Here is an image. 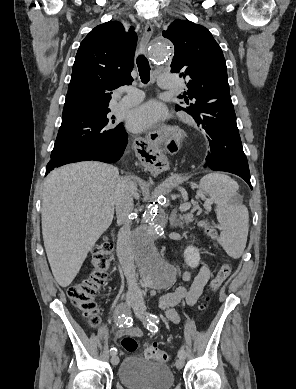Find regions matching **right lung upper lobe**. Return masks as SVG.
Here are the masks:
<instances>
[{"instance_id": "cb5924a9", "label": "right lung upper lobe", "mask_w": 296, "mask_h": 389, "mask_svg": "<svg viewBox=\"0 0 296 389\" xmlns=\"http://www.w3.org/2000/svg\"><path fill=\"white\" fill-rule=\"evenodd\" d=\"M136 43L133 28L126 33L120 22L95 27L76 54L62 117L110 111L112 90L133 81Z\"/></svg>"}]
</instances>
